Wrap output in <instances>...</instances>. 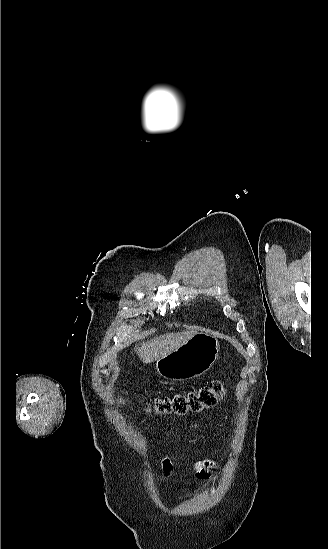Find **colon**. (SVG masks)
<instances>
[{
    "label": "colon",
    "instance_id": "obj_1",
    "mask_svg": "<svg viewBox=\"0 0 328 549\" xmlns=\"http://www.w3.org/2000/svg\"><path fill=\"white\" fill-rule=\"evenodd\" d=\"M225 395L224 383L215 380L197 391L177 394L171 397H158L152 401L159 414H186L214 406Z\"/></svg>",
    "mask_w": 328,
    "mask_h": 549
}]
</instances>
